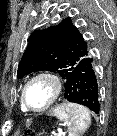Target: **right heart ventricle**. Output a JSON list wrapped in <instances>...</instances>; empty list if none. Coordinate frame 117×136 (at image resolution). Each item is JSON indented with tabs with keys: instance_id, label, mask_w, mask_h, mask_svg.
<instances>
[{
	"instance_id": "obj_1",
	"label": "right heart ventricle",
	"mask_w": 117,
	"mask_h": 136,
	"mask_svg": "<svg viewBox=\"0 0 117 136\" xmlns=\"http://www.w3.org/2000/svg\"><path fill=\"white\" fill-rule=\"evenodd\" d=\"M21 109H22L23 111H25L24 108H23V106H22V104H21Z\"/></svg>"
}]
</instances>
